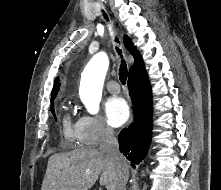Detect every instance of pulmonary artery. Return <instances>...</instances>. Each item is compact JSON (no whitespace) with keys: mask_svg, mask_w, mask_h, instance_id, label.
Wrapping results in <instances>:
<instances>
[{"mask_svg":"<svg viewBox=\"0 0 221 190\" xmlns=\"http://www.w3.org/2000/svg\"><path fill=\"white\" fill-rule=\"evenodd\" d=\"M106 87H107V90L112 94H117L120 92V86L118 82H116L115 80L108 81L106 84Z\"/></svg>","mask_w":221,"mask_h":190,"instance_id":"obj_1","label":"pulmonary artery"}]
</instances>
